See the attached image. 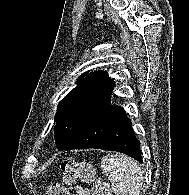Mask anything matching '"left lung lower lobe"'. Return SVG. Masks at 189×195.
<instances>
[{
	"mask_svg": "<svg viewBox=\"0 0 189 195\" xmlns=\"http://www.w3.org/2000/svg\"><path fill=\"white\" fill-rule=\"evenodd\" d=\"M58 150L97 148L125 153L142 162L140 142L136 139L131 122L122 107L102 106L79 126Z\"/></svg>",
	"mask_w": 189,
	"mask_h": 195,
	"instance_id": "1",
	"label": "left lung lower lobe"
}]
</instances>
